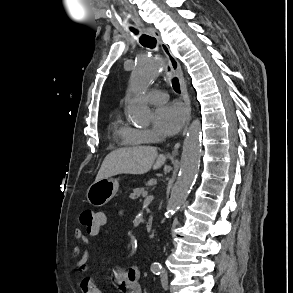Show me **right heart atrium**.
I'll return each mask as SVG.
<instances>
[{
	"label": "right heart atrium",
	"instance_id": "obj_1",
	"mask_svg": "<svg viewBox=\"0 0 293 293\" xmlns=\"http://www.w3.org/2000/svg\"><path fill=\"white\" fill-rule=\"evenodd\" d=\"M132 132L142 142L152 143L159 139L157 133L149 129H132Z\"/></svg>",
	"mask_w": 293,
	"mask_h": 293
}]
</instances>
